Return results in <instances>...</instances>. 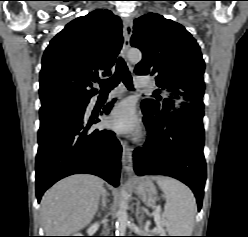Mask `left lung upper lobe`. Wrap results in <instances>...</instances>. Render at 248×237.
I'll return each instance as SVG.
<instances>
[{
  "label": "left lung upper lobe",
  "instance_id": "left-lung-upper-lobe-1",
  "mask_svg": "<svg viewBox=\"0 0 248 237\" xmlns=\"http://www.w3.org/2000/svg\"><path fill=\"white\" fill-rule=\"evenodd\" d=\"M131 45L139 48L143 59L136 65L137 75H154L156 90L167 93L161 101L146 99L142 107L159 122L178 108L203 109L205 64L200 47L180 24L156 13L134 20Z\"/></svg>",
  "mask_w": 248,
  "mask_h": 237
}]
</instances>
